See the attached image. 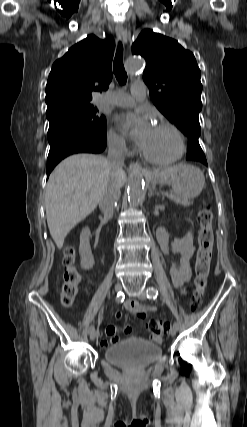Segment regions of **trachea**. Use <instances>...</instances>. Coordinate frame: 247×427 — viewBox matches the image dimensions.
<instances>
[{
	"label": "trachea",
	"mask_w": 247,
	"mask_h": 427,
	"mask_svg": "<svg viewBox=\"0 0 247 427\" xmlns=\"http://www.w3.org/2000/svg\"><path fill=\"white\" fill-rule=\"evenodd\" d=\"M113 72L116 76V79L120 84H125L127 81V73L125 71L124 65H123V46L119 42V45L117 47V52L114 59L113 64Z\"/></svg>",
	"instance_id": "3493384b"
}]
</instances>
